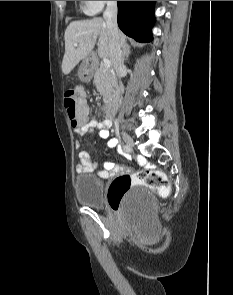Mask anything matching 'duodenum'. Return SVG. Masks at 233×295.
<instances>
[{
  "mask_svg": "<svg viewBox=\"0 0 233 295\" xmlns=\"http://www.w3.org/2000/svg\"><path fill=\"white\" fill-rule=\"evenodd\" d=\"M116 104H117V97L116 96H112L107 100L106 105H105V114L108 117H112L114 115Z\"/></svg>",
  "mask_w": 233,
  "mask_h": 295,
  "instance_id": "1",
  "label": "duodenum"
}]
</instances>
